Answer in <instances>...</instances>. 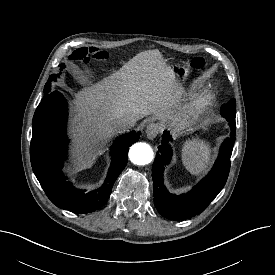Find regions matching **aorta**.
<instances>
[{
  "label": "aorta",
  "mask_w": 275,
  "mask_h": 275,
  "mask_svg": "<svg viewBox=\"0 0 275 275\" xmlns=\"http://www.w3.org/2000/svg\"><path fill=\"white\" fill-rule=\"evenodd\" d=\"M154 158V153L150 145L139 142L131 146L129 159L135 165H146Z\"/></svg>",
  "instance_id": "762f6f07"
}]
</instances>
